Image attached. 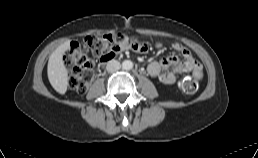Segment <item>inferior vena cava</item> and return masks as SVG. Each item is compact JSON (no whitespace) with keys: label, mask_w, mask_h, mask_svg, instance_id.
<instances>
[{"label":"inferior vena cava","mask_w":258,"mask_h":158,"mask_svg":"<svg viewBox=\"0 0 258 158\" xmlns=\"http://www.w3.org/2000/svg\"><path fill=\"white\" fill-rule=\"evenodd\" d=\"M120 68H121V64L117 60H111L106 65V69L110 73L116 72Z\"/></svg>","instance_id":"602c4592"}]
</instances>
